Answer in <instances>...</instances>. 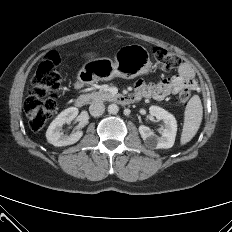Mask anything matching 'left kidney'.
<instances>
[{
  "instance_id": "1",
  "label": "left kidney",
  "mask_w": 232,
  "mask_h": 232,
  "mask_svg": "<svg viewBox=\"0 0 232 232\" xmlns=\"http://www.w3.org/2000/svg\"><path fill=\"white\" fill-rule=\"evenodd\" d=\"M149 112L156 119L164 122V129L161 132V137L156 136L154 132L147 126L140 125L139 133L145 142L146 147L150 149H168L174 145L177 121L175 117L158 106H151Z\"/></svg>"
}]
</instances>
